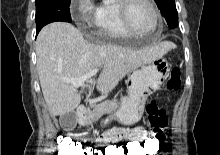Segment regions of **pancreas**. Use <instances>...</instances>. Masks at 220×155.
<instances>
[{"label": "pancreas", "instance_id": "pancreas-1", "mask_svg": "<svg viewBox=\"0 0 220 155\" xmlns=\"http://www.w3.org/2000/svg\"><path fill=\"white\" fill-rule=\"evenodd\" d=\"M93 110L88 111L87 123L92 124L101 118L104 114L115 112L119 108V102L116 98L106 100L102 104H91Z\"/></svg>", "mask_w": 220, "mask_h": 155}]
</instances>
